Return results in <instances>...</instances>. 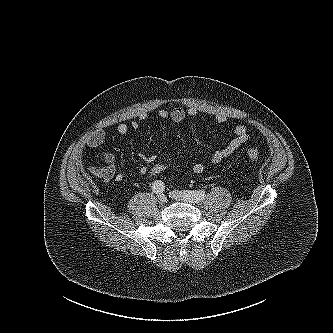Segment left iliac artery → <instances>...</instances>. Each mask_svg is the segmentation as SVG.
I'll return each instance as SVG.
<instances>
[{"label":"left iliac artery","instance_id":"left-iliac-artery-1","mask_svg":"<svg viewBox=\"0 0 333 333\" xmlns=\"http://www.w3.org/2000/svg\"><path fill=\"white\" fill-rule=\"evenodd\" d=\"M186 195L195 203H198L202 201L206 194L204 190H198V191H184Z\"/></svg>","mask_w":333,"mask_h":333}]
</instances>
